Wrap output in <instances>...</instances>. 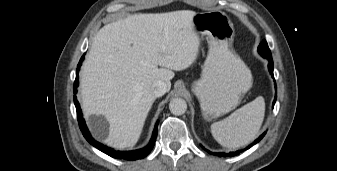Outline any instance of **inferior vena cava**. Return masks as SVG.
I'll return each instance as SVG.
<instances>
[{"mask_svg":"<svg viewBox=\"0 0 337 171\" xmlns=\"http://www.w3.org/2000/svg\"><path fill=\"white\" fill-rule=\"evenodd\" d=\"M151 90L155 97H160L167 92L168 88L165 82L159 80L152 84Z\"/></svg>","mask_w":337,"mask_h":171,"instance_id":"obj_1","label":"inferior vena cava"}]
</instances>
